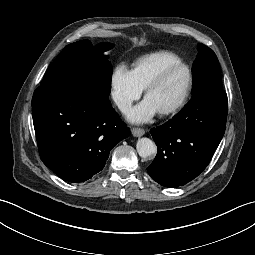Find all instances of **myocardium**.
<instances>
[{
  "mask_svg": "<svg viewBox=\"0 0 255 255\" xmlns=\"http://www.w3.org/2000/svg\"><path fill=\"white\" fill-rule=\"evenodd\" d=\"M176 68H183L186 70L187 72V76H188V83H187V88L186 91L184 93V95L182 96V98L175 103L174 105L159 110L158 113L160 115H170L173 113L178 112L179 110H181L186 103L188 102L191 93H192V89H193V73L192 70L190 69V67L182 62V61H177L174 63H171L167 66H165L145 87L144 90V98L146 99V96L149 94L150 91H152L154 88H156L158 85H160L162 83V81L165 79V77L174 69Z\"/></svg>",
  "mask_w": 255,
  "mask_h": 255,
  "instance_id": "f54148a6",
  "label": "myocardium"
}]
</instances>
